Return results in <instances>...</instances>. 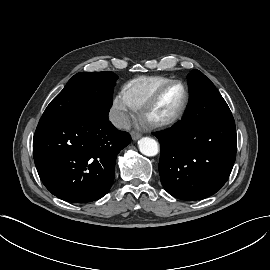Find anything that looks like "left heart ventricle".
Masks as SVG:
<instances>
[{
    "label": "left heart ventricle",
    "mask_w": 270,
    "mask_h": 270,
    "mask_svg": "<svg viewBox=\"0 0 270 270\" xmlns=\"http://www.w3.org/2000/svg\"><path fill=\"white\" fill-rule=\"evenodd\" d=\"M183 90L179 85L169 87L162 95L159 103L152 111L153 117H159L173 110L181 102Z\"/></svg>",
    "instance_id": "left-heart-ventricle-1"
}]
</instances>
